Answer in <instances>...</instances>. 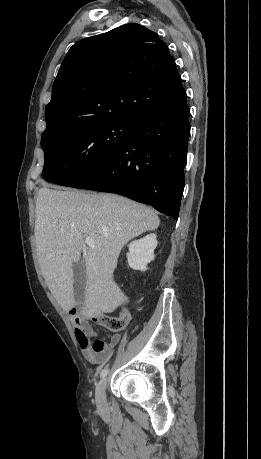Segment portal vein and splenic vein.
<instances>
[{"mask_svg":"<svg viewBox=\"0 0 261 459\" xmlns=\"http://www.w3.org/2000/svg\"><path fill=\"white\" fill-rule=\"evenodd\" d=\"M85 243H86L87 245H89V246H93V245H94V240H93V238H91L90 236H87V237L85 238Z\"/></svg>","mask_w":261,"mask_h":459,"instance_id":"18ae733b","label":"portal vein and splenic vein"}]
</instances>
